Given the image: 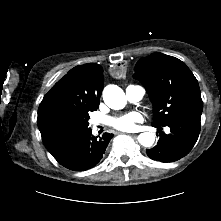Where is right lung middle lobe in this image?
Returning a JSON list of instances; mask_svg holds the SVG:
<instances>
[{
	"mask_svg": "<svg viewBox=\"0 0 221 221\" xmlns=\"http://www.w3.org/2000/svg\"><path fill=\"white\" fill-rule=\"evenodd\" d=\"M89 118V113L82 115L63 114L51 118L46 125L48 149H61L89 131Z\"/></svg>",
	"mask_w": 221,
	"mask_h": 221,
	"instance_id": "dd1d6c3e",
	"label": "right lung middle lobe"
}]
</instances>
